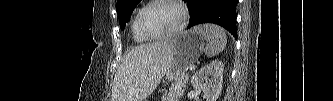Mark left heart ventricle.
<instances>
[{
    "label": "left heart ventricle",
    "mask_w": 333,
    "mask_h": 101,
    "mask_svg": "<svg viewBox=\"0 0 333 101\" xmlns=\"http://www.w3.org/2000/svg\"><path fill=\"white\" fill-rule=\"evenodd\" d=\"M181 20L179 9L170 3H159L149 8L143 18L145 28L152 34H164L175 29Z\"/></svg>",
    "instance_id": "b2bd125f"
}]
</instances>
